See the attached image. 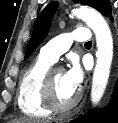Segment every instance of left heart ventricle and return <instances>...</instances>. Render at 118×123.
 I'll list each match as a JSON object with an SVG mask.
<instances>
[{
    "instance_id": "b2bd125f",
    "label": "left heart ventricle",
    "mask_w": 118,
    "mask_h": 123,
    "mask_svg": "<svg viewBox=\"0 0 118 123\" xmlns=\"http://www.w3.org/2000/svg\"><path fill=\"white\" fill-rule=\"evenodd\" d=\"M53 85L56 101L60 104H67L77 93V90L71 88L67 83L64 72L54 74Z\"/></svg>"
}]
</instances>
